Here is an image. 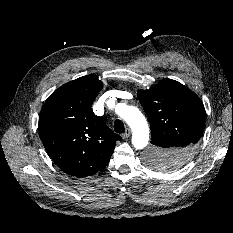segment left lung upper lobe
<instances>
[{"mask_svg":"<svg viewBox=\"0 0 233 233\" xmlns=\"http://www.w3.org/2000/svg\"><path fill=\"white\" fill-rule=\"evenodd\" d=\"M138 97L152 135V146L145 154L146 164L162 171L181 168L196 151L205 128L206 113L201 99L171 79H163L149 90H140ZM162 138H179L185 145L170 151L158 144L157 140Z\"/></svg>","mask_w":233,"mask_h":233,"instance_id":"left-lung-upper-lobe-1","label":"left lung upper lobe"}]
</instances>
